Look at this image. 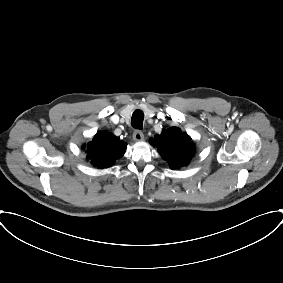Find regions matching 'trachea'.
Returning <instances> with one entry per match:
<instances>
[{
	"mask_svg": "<svg viewBox=\"0 0 283 283\" xmlns=\"http://www.w3.org/2000/svg\"><path fill=\"white\" fill-rule=\"evenodd\" d=\"M144 114L141 110H136L131 118V125L134 128L142 129Z\"/></svg>",
	"mask_w": 283,
	"mask_h": 283,
	"instance_id": "trachea-1",
	"label": "trachea"
}]
</instances>
